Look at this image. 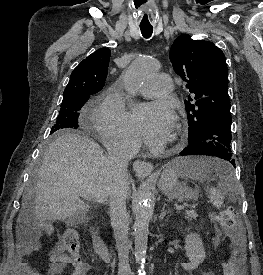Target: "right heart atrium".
<instances>
[{"instance_id":"right-heart-atrium-1","label":"right heart atrium","mask_w":263,"mask_h":275,"mask_svg":"<svg viewBox=\"0 0 263 275\" xmlns=\"http://www.w3.org/2000/svg\"><path fill=\"white\" fill-rule=\"evenodd\" d=\"M91 128L108 146L134 149L138 145L130 126V116L112 89L105 92L92 108Z\"/></svg>"}]
</instances>
